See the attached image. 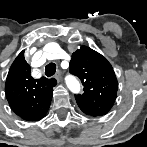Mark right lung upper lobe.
<instances>
[{
  "label": "right lung upper lobe",
  "instance_id": "1",
  "mask_svg": "<svg viewBox=\"0 0 147 147\" xmlns=\"http://www.w3.org/2000/svg\"><path fill=\"white\" fill-rule=\"evenodd\" d=\"M22 51L11 65L5 84L11 109L26 121L41 120L47 113L57 81L54 78L34 79Z\"/></svg>",
  "mask_w": 147,
  "mask_h": 147
}]
</instances>
